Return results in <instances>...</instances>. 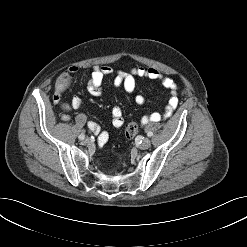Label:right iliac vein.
I'll list each match as a JSON object with an SVG mask.
<instances>
[{"label": "right iliac vein", "instance_id": "1", "mask_svg": "<svg viewBox=\"0 0 247 247\" xmlns=\"http://www.w3.org/2000/svg\"><path fill=\"white\" fill-rule=\"evenodd\" d=\"M92 143V141H91V139L90 138H85L84 140H83V144L84 145H89V144H91Z\"/></svg>", "mask_w": 247, "mask_h": 247}]
</instances>
